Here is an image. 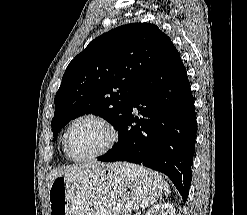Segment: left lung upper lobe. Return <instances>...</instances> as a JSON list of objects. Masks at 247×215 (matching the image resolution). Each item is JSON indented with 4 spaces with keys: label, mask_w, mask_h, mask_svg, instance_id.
Returning <instances> with one entry per match:
<instances>
[{
    "label": "left lung upper lobe",
    "mask_w": 247,
    "mask_h": 215,
    "mask_svg": "<svg viewBox=\"0 0 247 215\" xmlns=\"http://www.w3.org/2000/svg\"><path fill=\"white\" fill-rule=\"evenodd\" d=\"M170 43L149 23L119 26L91 41L70 62L56 93L54 138L69 121L87 113L104 117L118 130L138 86Z\"/></svg>",
    "instance_id": "1"
}]
</instances>
